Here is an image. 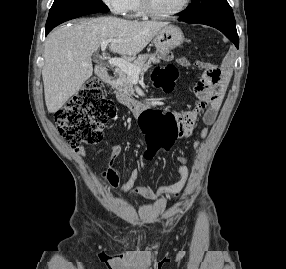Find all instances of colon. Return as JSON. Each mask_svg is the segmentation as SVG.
I'll return each mask as SVG.
<instances>
[{
  "instance_id": "5ec220e1",
  "label": "colon",
  "mask_w": 286,
  "mask_h": 269,
  "mask_svg": "<svg viewBox=\"0 0 286 269\" xmlns=\"http://www.w3.org/2000/svg\"><path fill=\"white\" fill-rule=\"evenodd\" d=\"M157 58L161 62H176L171 49H156ZM196 70H201V79L195 83V88H205L206 91H217L220 88V70L225 65H212L198 61ZM177 68L168 64L158 68L153 74V82L157 87L171 92L177 78ZM115 107L106 98L102 85L91 79L66 105L55 115V122L62 138L73 148L79 149L82 144L96 145L102 140L105 124L114 116ZM142 134L146 137L142 155L161 159L165 151H169L175 142L181 138L177 121H174L172 111H163L162 106L144 108L143 116H138Z\"/></svg>"
}]
</instances>
